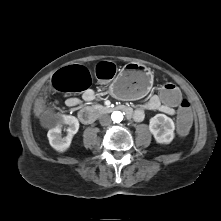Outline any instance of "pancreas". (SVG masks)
Returning a JSON list of instances; mask_svg holds the SVG:
<instances>
[{"mask_svg": "<svg viewBox=\"0 0 221 221\" xmlns=\"http://www.w3.org/2000/svg\"><path fill=\"white\" fill-rule=\"evenodd\" d=\"M94 108H95V109H98V110H101V109H103V106L95 105Z\"/></svg>", "mask_w": 221, "mask_h": 221, "instance_id": "1", "label": "pancreas"}]
</instances>
